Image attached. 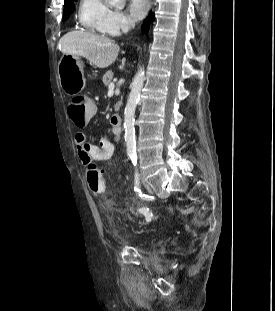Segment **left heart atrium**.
Here are the masks:
<instances>
[{"label": "left heart atrium", "instance_id": "left-heart-atrium-1", "mask_svg": "<svg viewBox=\"0 0 275 311\" xmlns=\"http://www.w3.org/2000/svg\"><path fill=\"white\" fill-rule=\"evenodd\" d=\"M149 10V0H129L128 11L133 20L145 17Z\"/></svg>", "mask_w": 275, "mask_h": 311}]
</instances>
